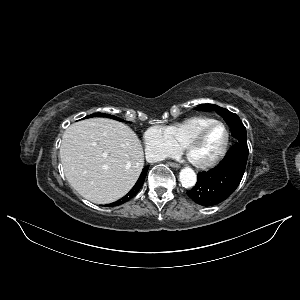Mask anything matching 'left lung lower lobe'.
Returning a JSON list of instances; mask_svg holds the SVG:
<instances>
[{"label":"left lung lower lobe","mask_w":300,"mask_h":300,"mask_svg":"<svg viewBox=\"0 0 300 300\" xmlns=\"http://www.w3.org/2000/svg\"><path fill=\"white\" fill-rule=\"evenodd\" d=\"M248 153L246 144H235L218 166L198 174L197 183L187 192L188 196L202 206H213L226 200L243 177Z\"/></svg>","instance_id":"obj_1"}]
</instances>
